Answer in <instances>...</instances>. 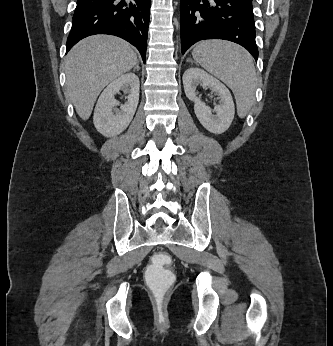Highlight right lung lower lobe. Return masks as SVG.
Here are the masks:
<instances>
[{"label": "right lung lower lobe", "mask_w": 333, "mask_h": 346, "mask_svg": "<svg viewBox=\"0 0 333 346\" xmlns=\"http://www.w3.org/2000/svg\"><path fill=\"white\" fill-rule=\"evenodd\" d=\"M151 0H77L66 53L95 34L121 37L134 45L145 63Z\"/></svg>", "instance_id": "right-lung-lower-lobe-1"}]
</instances>
